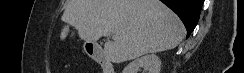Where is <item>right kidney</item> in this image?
I'll use <instances>...</instances> for the list:
<instances>
[{"mask_svg":"<svg viewBox=\"0 0 244 73\" xmlns=\"http://www.w3.org/2000/svg\"><path fill=\"white\" fill-rule=\"evenodd\" d=\"M144 67L149 73H159L161 68V60L155 54L144 55L129 63L122 73H138L139 69Z\"/></svg>","mask_w":244,"mask_h":73,"instance_id":"ca27d5eb","label":"right kidney"}]
</instances>
